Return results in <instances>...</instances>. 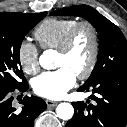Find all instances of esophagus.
I'll return each mask as SVG.
<instances>
[{
    "mask_svg": "<svg viewBox=\"0 0 127 127\" xmlns=\"http://www.w3.org/2000/svg\"><path fill=\"white\" fill-rule=\"evenodd\" d=\"M46 104H47L48 108H52V107H55L58 103L55 101L46 100Z\"/></svg>",
    "mask_w": 127,
    "mask_h": 127,
    "instance_id": "34e87169",
    "label": "esophagus"
}]
</instances>
